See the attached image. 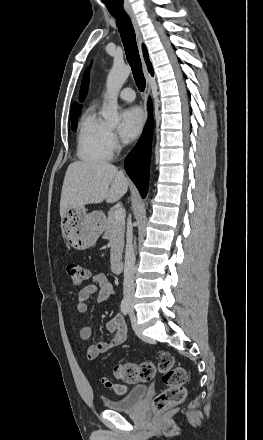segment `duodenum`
I'll use <instances>...</instances> for the list:
<instances>
[{"label":"duodenum","instance_id":"duodenum-1","mask_svg":"<svg viewBox=\"0 0 263 440\" xmlns=\"http://www.w3.org/2000/svg\"><path fill=\"white\" fill-rule=\"evenodd\" d=\"M112 271L115 274H119L122 271V262L120 260H115L112 264Z\"/></svg>","mask_w":263,"mask_h":440}]
</instances>
